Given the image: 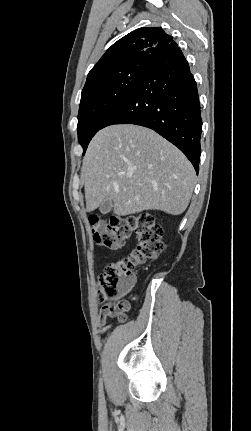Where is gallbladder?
Instances as JSON below:
<instances>
[{
	"mask_svg": "<svg viewBox=\"0 0 251 431\" xmlns=\"http://www.w3.org/2000/svg\"><path fill=\"white\" fill-rule=\"evenodd\" d=\"M112 201L109 198H106L100 205V212L102 214H108L112 209Z\"/></svg>",
	"mask_w": 251,
	"mask_h": 431,
	"instance_id": "obj_1",
	"label": "gallbladder"
}]
</instances>
